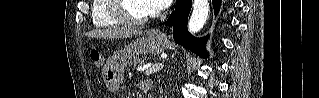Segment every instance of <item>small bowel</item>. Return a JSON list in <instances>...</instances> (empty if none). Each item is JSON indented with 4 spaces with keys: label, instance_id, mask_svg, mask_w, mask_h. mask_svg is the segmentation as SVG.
I'll list each match as a JSON object with an SVG mask.
<instances>
[{
    "label": "small bowel",
    "instance_id": "small-bowel-1",
    "mask_svg": "<svg viewBox=\"0 0 319 98\" xmlns=\"http://www.w3.org/2000/svg\"><path fill=\"white\" fill-rule=\"evenodd\" d=\"M140 88L143 89V90H147L148 87H149V82L148 81H143L140 83Z\"/></svg>",
    "mask_w": 319,
    "mask_h": 98
}]
</instances>
